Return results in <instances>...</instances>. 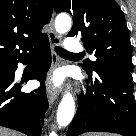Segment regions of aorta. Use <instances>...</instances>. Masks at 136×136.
<instances>
[{"label":"aorta","instance_id":"aorta-1","mask_svg":"<svg viewBox=\"0 0 136 136\" xmlns=\"http://www.w3.org/2000/svg\"><path fill=\"white\" fill-rule=\"evenodd\" d=\"M55 29L59 34L67 33L71 29V18L67 14H59L55 19ZM75 102L73 96L67 92L59 104L57 123L59 126H67L73 119Z\"/></svg>","mask_w":136,"mask_h":136}]
</instances>
